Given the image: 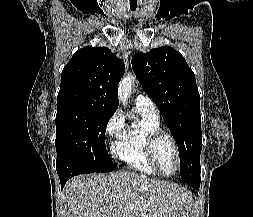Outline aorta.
Wrapping results in <instances>:
<instances>
[{
  "label": "aorta",
  "mask_w": 253,
  "mask_h": 217,
  "mask_svg": "<svg viewBox=\"0 0 253 217\" xmlns=\"http://www.w3.org/2000/svg\"><path fill=\"white\" fill-rule=\"evenodd\" d=\"M133 82L134 75L128 74L127 76L123 77L119 83L118 96L123 105L127 104V100L130 97L132 91Z\"/></svg>",
  "instance_id": "aorta-1"
}]
</instances>
